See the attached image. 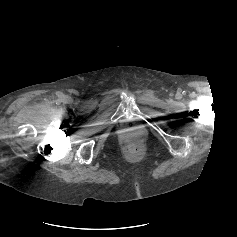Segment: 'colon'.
Here are the masks:
<instances>
[{"instance_id":"5ec220e1","label":"colon","mask_w":237,"mask_h":237,"mask_svg":"<svg viewBox=\"0 0 237 237\" xmlns=\"http://www.w3.org/2000/svg\"><path fill=\"white\" fill-rule=\"evenodd\" d=\"M126 148L129 152L135 153L141 149V144L137 139L131 138L126 141Z\"/></svg>"}]
</instances>
